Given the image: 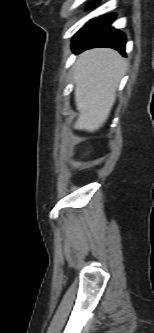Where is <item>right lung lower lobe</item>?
Instances as JSON below:
<instances>
[{
  "mask_svg": "<svg viewBox=\"0 0 154 333\" xmlns=\"http://www.w3.org/2000/svg\"><path fill=\"white\" fill-rule=\"evenodd\" d=\"M115 14L104 15L88 22L73 38L76 53L93 47H110L125 55L126 37L110 27Z\"/></svg>",
  "mask_w": 154,
  "mask_h": 333,
  "instance_id": "98d812e1",
  "label": "right lung lower lobe"
}]
</instances>
